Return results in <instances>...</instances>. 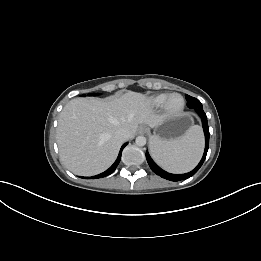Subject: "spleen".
<instances>
[{"label":"spleen","instance_id":"1","mask_svg":"<svg viewBox=\"0 0 261 261\" xmlns=\"http://www.w3.org/2000/svg\"><path fill=\"white\" fill-rule=\"evenodd\" d=\"M204 148L200 126L194 125L172 140L151 138L150 151L155 161L171 173H186L199 162Z\"/></svg>","mask_w":261,"mask_h":261}]
</instances>
